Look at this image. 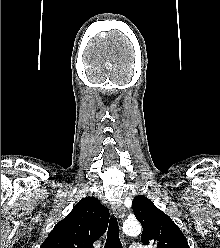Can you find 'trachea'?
Here are the masks:
<instances>
[{
  "label": "trachea",
  "mask_w": 220,
  "mask_h": 248,
  "mask_svg": "<svg viewBox=\"0 0 220 248\" xmlns=\"http://www.w3.org/2000/svg\"><path fill=\"white\" fill-rule=\"evenodd\" d=\"M104 248H122L119 239V225L117 218L111 217L107 232V239Z\"/></svg>",
  "instance_id": "trachea-1"
}]
</instances>
